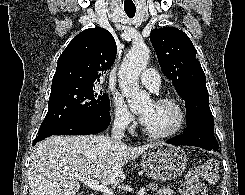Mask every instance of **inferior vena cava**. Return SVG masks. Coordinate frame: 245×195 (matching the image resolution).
Segmentation results:
<instances>
[{"mask_svg": "<svg viewBox=\"0 0 245 195\" xmlns=\"http://www.w3.org/2000/svg\"><path fill=\"white\" fill-rule=\"evenodd\" d=\"M126 123L123 118H116L112 127V139L118 143H121L124 137Z\"/></svg>", "mask_w": 245, "mask_h": 195, "instance_id": "602c4592", "label": "inferior vena cava"}]
</instances>
